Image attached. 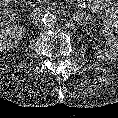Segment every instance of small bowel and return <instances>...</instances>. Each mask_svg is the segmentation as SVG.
Returning a JSON list of instances; mask_svg holds the SVG:
<instances>
[{
  "label": "small bowel",
  "instance_id": "small-bowel-1",
  "mask_svg": "<svg viewBox=\"0 0 118 118\" xmlns=\"http://www.w3.org/2000/svg\"><path fill=\"white\" fill-rule=\"evenodd\" d=\"M92 10H104L107 17L112 23V28L118 33V8L111 5H107L105 0H92Z\"/></svg>",
  "mask_w": 118,
  "mask_h": 118
}]
</instances>
